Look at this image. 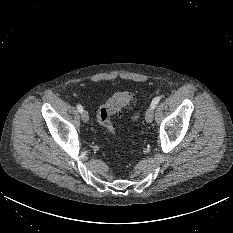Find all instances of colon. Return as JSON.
<instances>
[{
    "label": "colon",
    "mask_w": 233,
    "mask_h": 233,
    "mask_svg": "<svg viewBox=\"0 0 233 233\" xmlns=\"http://www.w3.org/2000/svg\"><path fill=\"white\" fill-rule=\"evenodd\" d=\"M135 101V95L131 92L122 91L114 94L112 97L105 100L97 111V121L105 129V131L114 136L115 128L112 122L113 115L124 109L131 107ZM134 120L138 119V115L133 116Z\"/></svg>",
    "instance_id": "colon-1"
}]
</instances>
